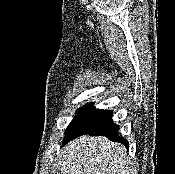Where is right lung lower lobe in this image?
<instances>
[{
	"label": "right lung lower lobe",
	"mask_w": 175,
	"mask_h": 174,
	"mask_svg": "<svg viewBox=\"0 0 175 174\" xmlns=\"http://www.w3.org/2000/svg\"><path fill=\"white\" fill-rule=\"evenodd\" d=\"M112 111L93 107V103L84 105L68 127L63 145L74 138L89 134L91 136H106L111 141L120 142L128 147V141L119 136V126L113 124Z\"/></svg>",
	"instance_id": "1"
}]
</instances>
